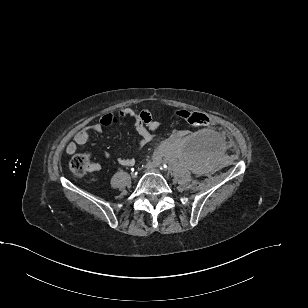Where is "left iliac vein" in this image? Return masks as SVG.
Wrapping results in <instances>:
<instances>
[{"mask_svg": "<svg viewBox=\"0 0 308 308\" xmlns=\"http://www.w3.org/2000/svg\"><path fill=\"white\" fill-rule=\"evenodd\" d=\"M146 170L149 172H154V173H160V171L157 169L156 165L153 163H148L146 165Z\"/></svg>", "mask_w": 308, "mask_h": 308, "instance_id": "obj_1", "label": "left iliac vein"}]
</instances>
